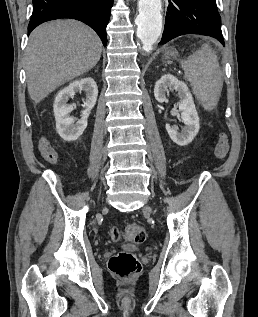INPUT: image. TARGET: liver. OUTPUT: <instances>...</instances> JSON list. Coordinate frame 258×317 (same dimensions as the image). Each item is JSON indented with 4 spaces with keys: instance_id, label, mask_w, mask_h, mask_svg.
<instances>
[{
    "instance_id": "liver-1",
    "label": "liver",
    "mask_w": 258,
    "mask_h": 317,
    "mask_svg": "<svg viewBox=\"0 0 258 317\" xmlns=\"http://www.w3.org/2000/svg\"><path fill=\"white\" fill-rule=\"evenodd\" d=\"M101 46L98 34L79 20H51L34 28L24 56L30 98L40 102L63 82L88 72Z\"/></svg>"
}]
</instances>
